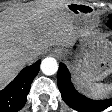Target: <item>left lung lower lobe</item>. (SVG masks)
Here are the masks:
<instances>
[{
	"mask_svg": "<svg viewBox=\"0 0 112 112\" xmlns=\"http://www.w3.org/2000/svg\"><path fill=\"white\" fill-rule=\"evenodd\" d=\"M107 26L112 29V22ZM57 84L65 103L78 112H100L112 105V98L92 100L80 94L73 86L71 75L65 64L60 63Z\"/></svg>",
	"mask_w": 112,
	"mask_h": 112,
	"instance_id": "0a47b994",
	"label": "left lung lower lobe"
}]
</instances>
